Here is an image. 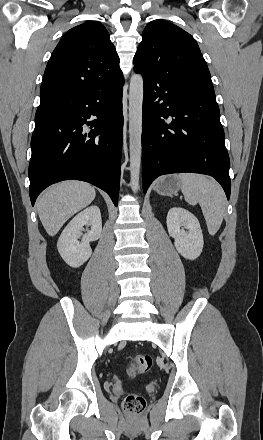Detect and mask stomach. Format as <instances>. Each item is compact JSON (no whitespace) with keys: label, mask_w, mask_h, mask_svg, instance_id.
Wrapping results in <instances>:
<instances>
[{"label":"stomach","mask_w":263,"mask_h":440,"mask_svg":"<svg viewBox=\"0 0 263 440\" xmlns=\"http://www.w3.org/2000/svg\"><path fill=\"white\" fill-rule=\"evenodd\" d=\"M154 189L158 194L163 196H171L176 194L180 189V184L177 179V175H169L160 178L156 182Z\"/></svg>","instance_id":"1"}]
</instances>
